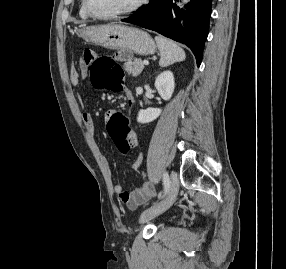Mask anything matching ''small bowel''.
<instances>
[{"instance_id":"obj_1","label":"small bowel","mask_w":286,"mask_h":269,"mask_svg":"<svg viewBox=\"0 0 286 269\" xmlns=\"http://www.w3.org/2000/svg\"><path fill=\"white\" fill-rule=\"evenodd\" d=\"M88 67V63L84 58V61L81 60L79 63V68H76L74 65L71 66L70 72H69V79L73 86H77L80 82L81 76L86 72V69ZM125 97L127 99V104L129 107H132L133 105V99L131 96V93L129 90L124 89L123 90ZM115 111L109 110L106 115L105 119L108 123V121H111L112 116H114ZM82 121L85 126V128L89 131H94V120L90 113L83 112L82 113ZM127 130L129 132V139L131 142L132 147H136L138 145L137 136L134 132L130 131L129 126H127ZM143 160V154L140 152L136 158V160L131 163L130 169L131 170H138L141 166ZM113 192L126 204V206L129 209L135 210L142 204L149 201L151 198L155 196V190L148 184L144 183L140 187H138L133 192H125L123 190V187L120 184H116L113 187Z\"/></svg>"}]
</instances>
